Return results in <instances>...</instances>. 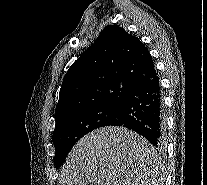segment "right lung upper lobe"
<instances>
[{"instance_id":"1","label":"right lung upper lobe","mask_w":207,"mask_h":185,"mask_svg":"<svg viewBox=\"0 0 207 185\" xmlns=\"http://www.w3.org/2000/svg\"><path fill=\"white\" fill-rule=\"evenodd\" d=\"M157 76L148 49L116 25L106 26L69 68L59 92L56 123L104 104H122Z\"/></svg>"}]
</instances>
